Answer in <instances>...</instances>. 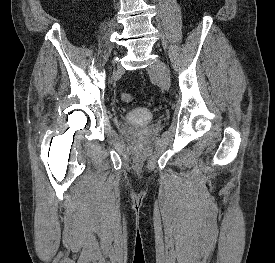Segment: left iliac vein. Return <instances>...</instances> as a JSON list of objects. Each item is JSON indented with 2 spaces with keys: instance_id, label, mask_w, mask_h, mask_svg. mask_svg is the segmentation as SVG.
<instances>
[{
  "instance_id": "left-iliac-vein-1",
  "label": "left iliac vein",
  "mask_w": 275,
  "mask_h": 263,
  "mask_svg": "<svg viewBox=\"0 0 275 263\" xmlns=\"http://www.w3.org/2000/svg\"><path fill=\"white\" fill-rule=\"evenodd\" d=\"M149 71L157 76L161 86L165 89L170 87V73L169 69L164 62L156 60L149 66Z\"/></svg>"
}]
</instances>
